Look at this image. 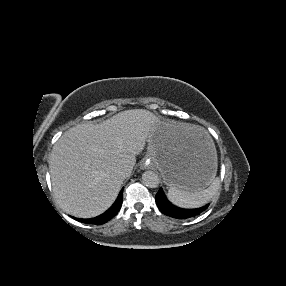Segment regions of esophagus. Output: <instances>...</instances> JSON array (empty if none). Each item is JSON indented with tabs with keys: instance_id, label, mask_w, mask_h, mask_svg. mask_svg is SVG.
Segmentation results:
<instances>
[{
	"instance_id": "esophagus-1",
	"label": "esophagus",
	"mask_w": 286,
	"mask_h": 286,
	"mask_svg": "<svg viewBox=\"0 0 286 286\" xmlns=\"http://www.w3.org/2000/svg\"><path fill=\"white\" fill-rule=\"evenodd\" d=\"M150 166V163H147L145 161H142V163L140 164V168L141 169H146Z\"/></svg>"
}]
</instances>
